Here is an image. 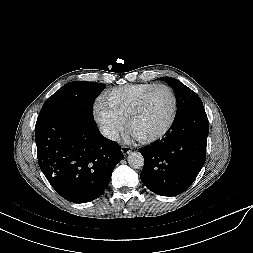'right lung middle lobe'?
Segmentation results:
<instances>
[{
  "mask_svg": "<svg viewBox=\"0 0 253 253\" xmlns=\"http://www.w3.org/2000/svg\"><path fill=\"white\" fill-rule=\"evenodd\" d=\"M104 88V84L97 82H69L46 100L39 115L59 113L93 119L94 99Z\"/></svg>",
  "mask_w": 253,
  "mask_h": 253,
  "instance_id": "dd1d6c3e",
  "label": "right lung middle lobe"
}]
</instances>
